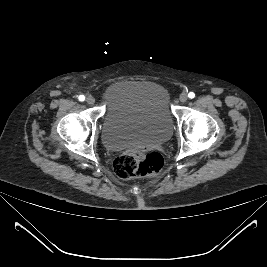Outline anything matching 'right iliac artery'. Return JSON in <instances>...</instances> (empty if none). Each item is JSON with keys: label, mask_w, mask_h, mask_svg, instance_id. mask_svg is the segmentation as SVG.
I'll return each mask as SVG.
<instances>
[{"label": "right iliac artery", "mask_w": 267, "mask_h": 267, "mask_svg": "<svg viewBox=\"0 0 267 267\" xmlns=\"http://www.w3.org/2000/svg\"><path fill=\"white\" fill-rule=\"evenodd\" d=\"M79 100H80V101H84V100H85V97H84L83 95H80V96H79Z\"/></svg>", "instance_id": "right-iliac-artery-1"}]
</instances>
